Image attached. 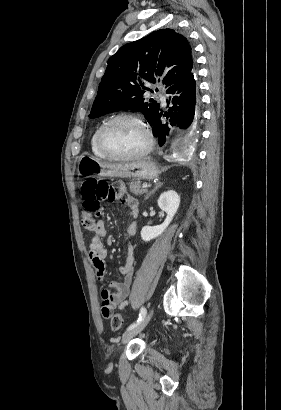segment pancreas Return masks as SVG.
I'll use <instances>...</instances> for the list:
<instances>
[{"label":"pancreas","mask_w":281,"mask_h":410,"mask_svg":"<svg viewBox=\"0 0 281 410\" xmlns=\"http://www.w3.org/2000/svg\"><path fill=\"white\" fill-rule=\"evenodd\" d=\"M130 192L135 195H142L147 192L145 188L141 186V182L139 180H133L129 183Z\"/></svg>","instance_id":"1"}]
</instances>
